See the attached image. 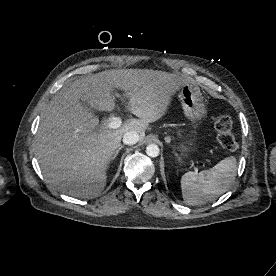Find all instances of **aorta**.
I'll return each instance as SVG.
<instances>
[{
	"mask_svg": "<svg viewBox=\"0 0 276 276\" xmlns=\"http://www.w3.org/2000/svg\"><path fill=\"white\" fill-rule=\"evenodd\" d=\"M160 149L156 144H149L146 147V153L149 157H157L159 155Z\"/></svg>",
	"mask_w": 276,
	"mask_h": 276,
	"instance_id": "aorta-1",
	"label": "aorta"
}]
</instances>
